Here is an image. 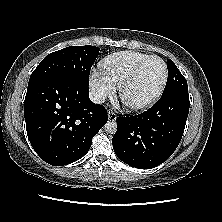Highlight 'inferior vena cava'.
I'll return each mask as SVG.
<instances>
[{
	"mask_svg": "<svg viewBox=\"0 0 222 222\" xmlns=\"http://www.w3.org/2000/svg\"><path fill=\"white\" fill-rule=\"evenodd\" d=\"M90 100L95 104H101L105 102L106 95L101 92L90 91L89 93Z\"/></svg>",
	"mask_w": 222,
	"mask_h": 222,
	"instance_id": "inferior-vena-cava-1",
	"label": "inferior vena cava"
}]
</instances>
